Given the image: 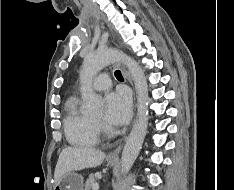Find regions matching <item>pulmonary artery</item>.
<instances>
[{
	"instance_id": "e3ab8cb5",
	"label": "pulmonary artery",
	"mask_w": 234,
	"mask_h": 190,
	"mask_svg": "<svg viewBox=\"0 0 234 190\" xmlns=\"http://www.w3.org/2000/svg\"><path fill=\"white\" fill-rule=\"evenodd\" d=\"M110 86V79L107 75H101L93 83V87L96 90H105Z\"/></svg>"
}]
</instances>
